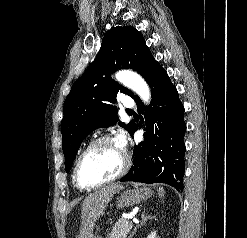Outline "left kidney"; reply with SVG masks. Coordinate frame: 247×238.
<instances>
[{"label":"left kidney","mask_w":247,"mask_h":238,"mask_svg":"<svg viewBox=\"0 0 247 238\" xmlns=\"http://www.w3.org/2000/svg\"><path fill=\"white\" fill-rule=\"evenodd\" d=\"M147 238H157V236H156V231L151 232V234L148 235Z\"/></svg>","instance_id":"5707ae66"}]
</instances>
